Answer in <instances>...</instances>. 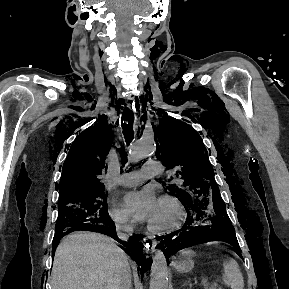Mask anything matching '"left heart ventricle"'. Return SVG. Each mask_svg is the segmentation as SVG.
<instances>
[{"instance_id": "1", "label": "left heart ventricle", "mask_w": 289, "mask_h": 289, "mask_svg": "<svg viewBox=\"0 0 289 289\" xmlns=\"http://www.w3.org/2000/svg\"><path fill=\"white\" fill-rule=\"evenodd\" d=\"M175 217L176 212L170 205L159 202L158 209L150 222L153 225L162 226L172 222Z\"/></svg>"}]
</instances>
